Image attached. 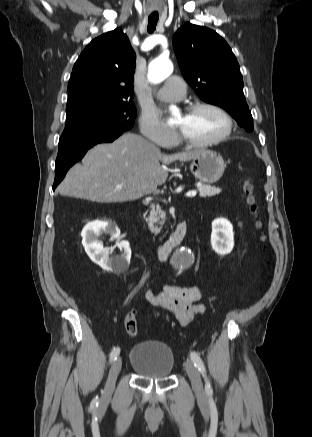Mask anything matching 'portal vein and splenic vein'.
Here are the masks:
<instances>
[{
    "instance_id": "1",
    "label": "portal vein and splenic vein",
    "mask_w": 312,
    "mask_h": 437,
    "mask_svg": "<svg viewBox=\"0 0 312 437\" xmlns=\"http://www.w3.org/2000/svg\"><path fill=\"white\" fill-rule=\"evenodd\" d=\"M117 190H120V189H122V187H117L116 188ZM196 194H197V192L196 191H189V192H187L186 193V197H194V196H196Z\"/></svg>"
}]
</instances>
